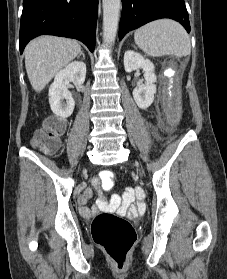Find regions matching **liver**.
<instances>
[{"label": "liver", "mask_w": 227, "mask_h": 279, "mask_svg": "<svg viewBox=\"0 0 227 279\" xmlns=\"http://www.w3.org/2000/svg\"><path fill=\"white\" fill-rule=\"evenodd\" d=\"M81 52L80 44L72 39L40 36L25 48V67L36 92L42 91L52 78Z\"/></svg>", "instance_id": "liver-1"}]
</instances>
